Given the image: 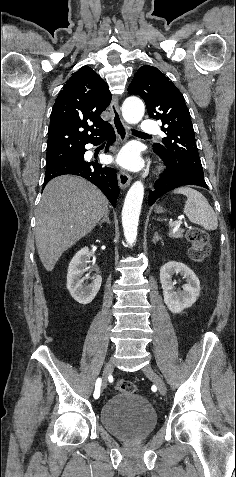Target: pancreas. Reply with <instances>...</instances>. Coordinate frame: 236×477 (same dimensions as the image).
Masks as SVG:
<instances>
[{
	"label": "pancreas",
	"mask_w": 236,
	"mask_h": 477,
	"mask_svg": "<svg viewBox=\"0 0 236 477\" xmlns=\"http://www.w3.org/2000/svg\"><path fill=\"white\" fill-rule=\"evenodd\" d=\"M183 232H184L183 229H178L175 232H170L169 237L175 238V239L176 238H182L183 237Z\"/></svg>",
	"instance_id": "obj_1"
}]
</instances>
